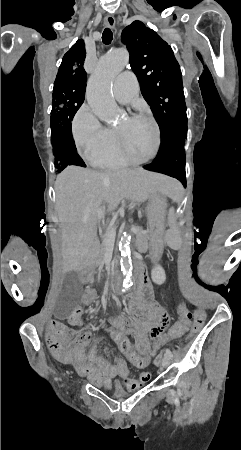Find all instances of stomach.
<instances>
[{"mask_svg":"<svg viewBox=\"0 0 241 450\" xmlns=\"http://www.w3.org/2000/svg\"><path fill=\"white\" fill-rule=\"evenodd\" d=\"M165 198L159 193L151 195L148 203L149 248L150 255L159 259L163 253L165 242Z\"/></svg>","mask_w":241,"mask_h":450,"instance_id":"0dacf381","label":"stomach"}]
</instances>
